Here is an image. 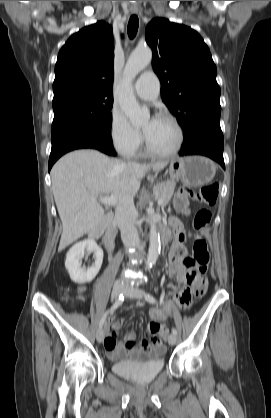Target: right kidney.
<instances>
[{
    "label": "right kidney",
    "mask_w": 271,
    "mask_h": 418,
    "mask_svg": "<svg viewBox=\"0 0 271 418\" xmlns=\"http://www.w3.org/2000/svg\"><path fill=\"white\" fill-rule=\"evenodd\" d=\"M93 252L95 262L91 267L81 266V259L86 253ZM103 262V251L93 239L74 244L66 254L65 267L72 281L78 284L91 282L98 274Z\"/></svg>",
    "instance_id": "obj_1"
}]
</instances>
